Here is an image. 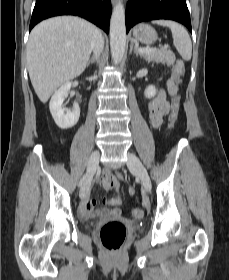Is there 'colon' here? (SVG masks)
<instances>
[{
    "label": "colon",
    "mask_w": 229,
    "mask_h": 280,
    "mask_svg": "<svg viewBox=\"0 0 229 280\" xmlns=\"http://www.w3.org/2000/svg\"><path fill=\"white\" fill-rule=\"evenodd\" d=\"M184 74V69L181 64H176L173 68V77L168 81V88L171 94V112L168 117V127L173 129L178 121L180 110V96L178 94L179 78ZM120 179L112 174H107L102 179V186L112 188L113 185L119 183ZM121 204V201H116ZM135 217H142L143 211L139 208L133 211ZM126 238V228L119 221H110L102 226L100 230V240L104 247L109 251H118Z\"/></svg>",
    "instance_id": "5ec220e1"
}]
</instances>
